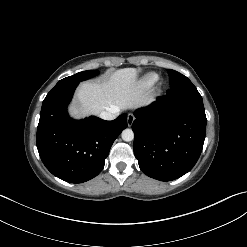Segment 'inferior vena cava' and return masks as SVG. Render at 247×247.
Returning a JSON list of instances; mask_svg holds the SVG:
<instances>
[{
  "instance_id": "inferior-vena-cava-1",
  "label": "inferior vena cava",
  "mask_w": 247,
  "mask_h": 247,
  "mask_svg": "<svg viewBox=\"0 0 247 247\" xmlns=\"http://www.w3.org/2000/svg\"><path fill=\"white\" fill-rule=\"evenodd\" d=\"M120 110L118 108L110 109L108 111H102L99 117L104 120H114L119 114Z\"/></svg>"
}]
</instances>
